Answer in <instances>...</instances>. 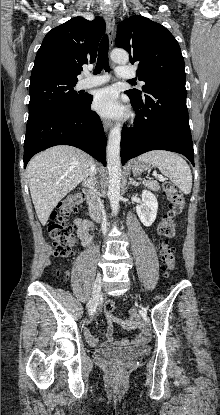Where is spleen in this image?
<instances>
[{"instance_id":"obj_1","label":"spleen","mask_w":220,"mask_h":415,"mask_svg":"<svg viewBox=\"0 0 220 415\" xmlns=\"http://www.w3.org/2000/svg\"><path fill=\"white\" fill-rule=\"evenodd\" d=\"M138 160L157 167L182 193L189 194L191 192V170L187 162L179 155L169 151L156 150L140 155Z\"/></svg>"}]
</instances>
